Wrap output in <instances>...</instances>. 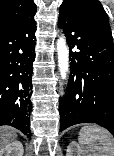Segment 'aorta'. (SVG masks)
I'll use <instances>...</instances> for the list:
<instances>
[{
	"mask_svg": "<svg viewBox=\"0 0 114 156\" xmlns=\"http://www.w3.org/2000/svg\"><path fill=\"white\" fill-rule=\"evenodd\" d=\"M57 53L60 75L62 79H66L69 70V50L63 35L57 41Z\"/></svg>",
	"mask_w": 114,
	"mask_h": 156,
	"instance_id": "obj_1",
	"label": "aorta"
}]
</instances>
